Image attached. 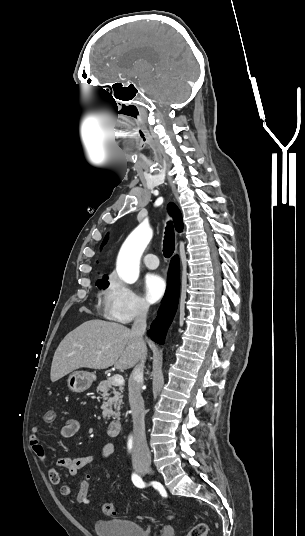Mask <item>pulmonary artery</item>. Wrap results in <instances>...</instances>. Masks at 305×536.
<instances>
[{
  "instance_id": "1",
  "label": "pulmonary artery",
  "mask_w": 305,
  "mask_h": 536,
  "mask_svg": "<svg viewBox=\"0 0 305 536\" xmlns=\"http://www.w3.org/2000/svg\"><path fill=\"white\" fill-rule=\"evenodd\" d=\"M155 255L153 253H147L143 256V263L149 269H156L159 264L155 261Z\"/></svg>"
}]
</instances>
